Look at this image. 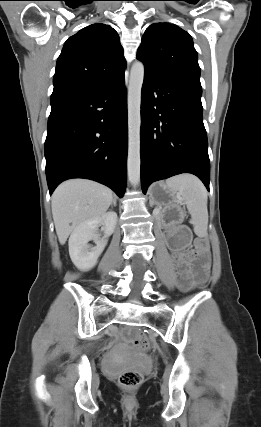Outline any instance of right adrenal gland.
<instances>
[{"instance_id": "2a0ac1e0", "label": "right adrenal gland", "mask_w": 261, "mask_h": 427, "mask_svg": "<svg viewBox=\"0 0 261 427\" xmlns=\"http://www.w3.org/2000/svg\"><path fill=\"white\" fill-rule=\"evenodd\" d=\"M116 205H117V203H116V198H114V199L112 200L111 207H112V206L116 207Z\"/></svg>"}]
</instances>
